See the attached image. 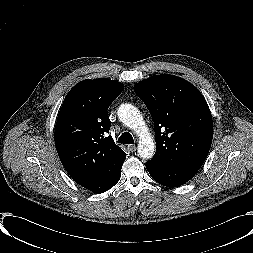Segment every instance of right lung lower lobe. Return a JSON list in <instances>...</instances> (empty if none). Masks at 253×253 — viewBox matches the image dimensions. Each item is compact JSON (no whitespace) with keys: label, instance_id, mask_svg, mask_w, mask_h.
I'll return each mask as SVG.
<instances>
[{"label":"right lung lower lobe","instance_id":"1","mask_svg":"<svg viewBox=\"0 0 253 253\" xmlns=\"http://www.w3.org/2000/svg\"><path fill=\"white\" fill-rule=\"evenodd\" d=\"M119 179H120V176L111 184V186L107 190H109L110 188H112L119 181Z\"/></svg>","mask_w":253,"mask_h":253}]
</instances>
